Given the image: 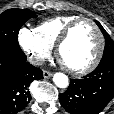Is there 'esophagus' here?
Returning <instances> with one entry per match:
<instances>
[{
    "label": "esophagus",
    "instance_id": "1",
    "mask_svg": "<svg viewBox=\"0 0 114 114\" xmlns=\"http://www.w3.org/2000/svg\"><path fill=\"white\" fill-rule=\"evenodd\" d=\"M52 75H53V73L50 72V71H47V70H44V71H43V76H44V78H46V79L50 78Z\"/></svg>",
    "mask_w": 114,
    "mask_h": 114
}]
</instances>
